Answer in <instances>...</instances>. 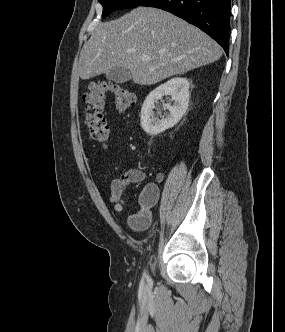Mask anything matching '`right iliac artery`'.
Wrapping results in <instances>:
<instances>
[{
	"label": "right iliac artery",
	"mask_w": 285,
	"mask_h": 332,
	"mask_svg": "<svg viewBox=\"0 0 285 332\" xmlns=\"http://www.w3.org/2000/svg\"><path fill=\"white\" fill-rule=\"evenodd\" d=\"M147 277L146 271L143 273V278Z\"/></svg>",
	"instance_id": "obj_1"
}]
</instances>
